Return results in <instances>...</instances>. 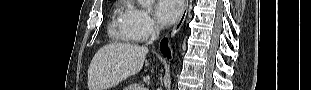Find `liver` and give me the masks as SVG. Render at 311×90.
Wrapping results in <instances>:
<instances>
[{
	"label": "liver",
	"instance_id": "liver-1",
	"mask_svg": "<svg viewBox=\"0 0 311 90\" xmlns=\"http://www.w3.org/2000/svg\"><path fill=\"white\" fill-rule=\"evenodd\" d=\"M146 46L112 43L100 48L88 69V90H108L141 71Z\"/></svg>",
	"mask_w": 311,
	"mask_h": 90
}]
</instances>
